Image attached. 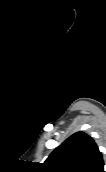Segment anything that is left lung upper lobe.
Returning <instances> with one entry per match:
<instances>
[{"instance_id": "5c2ea615", "label": "left lung upper lobe", "mask_w": 106, "mask_h": 172, "mask_svg": "<svg viewBox=\"0 0 106 172\" xmlns=\"http://www.w3.org/2000/svg\"><path fill=\"white\" fill-rule=\"evenodd\" d=\"M48 172H104V162L94 140L76 132L57 147L44 162Z\"/></svg>"}]
</instances>
